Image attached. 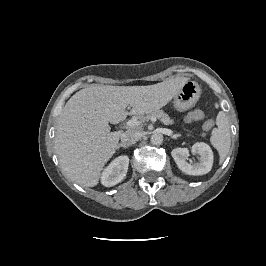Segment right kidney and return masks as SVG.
<instances>
[{
	"instance_id": "ca27d5eb",
	"label": "right kidney",
	"mask_w": 266,
	"mask_h": 266,
	"mask_svg": "<svg viewBox=\"0 0 266 266\" xmlns=\"http://www.w3.org/2000/svg\"><path fill=\"white\" fill-rule=\"evenodd\" d=\"M128 165V156L117 157L102 172L101 183L106 187H112L118 184L126 177Z\"/></svg>"
}]
</instances>
